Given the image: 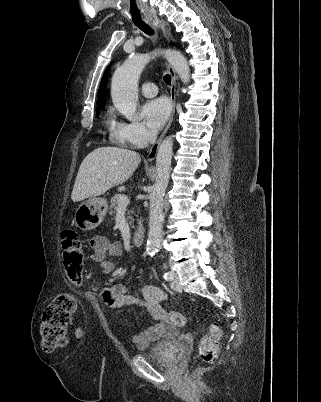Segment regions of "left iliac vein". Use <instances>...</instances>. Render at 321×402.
<instances>
[{
  "label": "left iliac vein",
  "mask_w": 321,
  "mask_h": 402,
  "mask_svg": "<svg viewBox=\"0 0 321 402\" xmlns=\"http://www.w3.org/2000/svg\"><path fill=\"white\" fill-rule=\"evenodd\" d=\"M170 273L173 276L172 281L170 283L171 288L173 290L177 291V292H180L182 290V287L180 285L179 278H178L177 274L174 271H171Z\"/></svg>",
  "instance_id": "obj_1"
}]
</instances>
